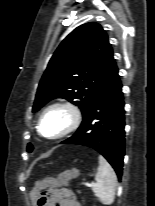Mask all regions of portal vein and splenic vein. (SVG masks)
Masks as SVG:
<instances>
[{"instance_id": "portal-vein-and-splenic-vein-1", "label": "portal vein and splenic vein", "mask_w": 155, "mask_h": 206, "mask_svg": "<svg viewBox=\"0 0 155 206\" xmlns=\"http://www.w3.org/2000/svg\"><path fill=\"white\" fill-rule=\"evenodd\" d=\"M83 185L89 187V186H91L92 184H91V183H88V182H84Z\"/></svg>"}]
</instances>
